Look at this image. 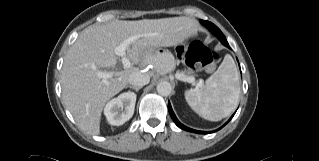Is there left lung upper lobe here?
<instances>
[{
  "label": "left lung upper lobe",
  "instance_id": "1",
  "mask_svg": "<svg viewBox=\"0 0 319 161\" xmlns=\"http://www.w3.org/2000/svg\"><path fill=\"white\" fill-rule=\"evenodd\" d=\"M207 23H208L207 27L213 26V23L208 22V21H207ZM214 34H215V35L217 36V38L222 42L223 45H225L226 43H228L227 40H226V38H225V36H224L223 33L220 31V29L217 30L216 32H214Z\"/></svg>",
  "mask_w": 319,
  "mask_h": 161
}]
</instances>
